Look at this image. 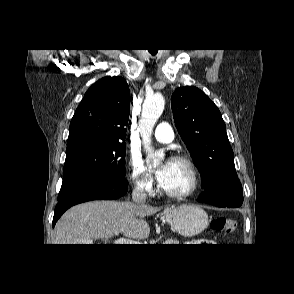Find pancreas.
I'll return each mask as SVG.
<instances>
[{
    "label": "pancreas",
    "mask_w": 294,
    "mask_h": 294,
    "mask_svg": "<svg viewBox=\"0 0 294 294\" xmlns=\"http://www.w3.org/2000/svg\"><path fill=\"white\" fill-rule=\"evenodd\" d=\"M165 244H178L177 241H174V242H166Z\"/></svg>",
    "instance_id": "obj_1"
}]
</instances>
